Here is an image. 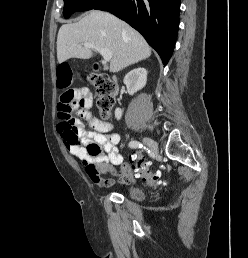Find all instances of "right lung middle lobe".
Listing matches in <instances>:
<instances>
[{
    "mask_svg": "<svg viewBox=\"0 0 248 258\" xmlns=\"http://www.w3.org/2000/svg\"><path fill=\"white\" fill-rule=\"evenodd\" d=\"M108 0H64L63 14L67 19L76 11H86L95 9Z\"/></svg>",
    "mask_w": 248,
    "mask_h": 258,
    "instance_id": "dd1d6c3e",
    "label": "right lung middle lobe"
}]
</instances>
